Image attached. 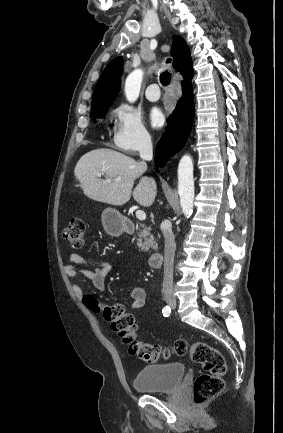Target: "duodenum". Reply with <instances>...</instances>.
I'll use <instances>...</instances> for the list:
<instances>
[{
    "label": "duodenum",
    "mask_w": 283,
    "mask_h": 433,
    "mask_svg": "<svg viewBox=\"0 0 283 433\" xmlns=\"http://www.w3.org/2000/svg\"><path fill=\"white\" fill-rule=\"evenodd\" d=\"M124 228H125L126 232H128V233H132L135 230L134 225L130 222H126L124 224ZM162 262H163V254L160 251L154 252L149 258V264L153 268L160 267Z\"/></svg>",
    "instance_id": "1"
}]
</instances>
